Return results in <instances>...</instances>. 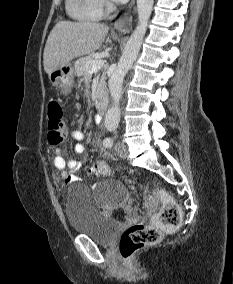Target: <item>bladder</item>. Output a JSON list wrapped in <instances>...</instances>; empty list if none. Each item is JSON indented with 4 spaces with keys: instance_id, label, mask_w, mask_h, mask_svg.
Segmentation results:
<instances>
[{
    "instance_id": "31cf9c89",
    "label": "bladder",
    "mask_w": 233,
    "mask_h": 284,
    "mask_svg": "<svg viewBox=\"0 0 233 284\" xmlns=\"http://www.w3.org/2000/svg\"><path fill=\"white\" fill-rule=\"evenodd\" d=\"M127 189L120 182L104 184L98 195L84 185H72L66 198V217L71 229L97 243L110 244L120 229V223L100 209V204L118 203L126 199Z\"/></svg>"
}]
</instances>
